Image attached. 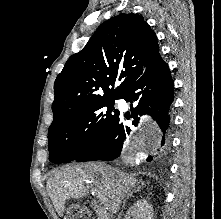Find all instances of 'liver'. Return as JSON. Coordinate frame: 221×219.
Returning a JSON list of instances; mask_svg holds the SVG:
<instances>
[{
	"instance_id": "1",
	"label": "liver",
	"mask_w": 221,
	"mask_h": 219,
	"mask_svg": "<svg viewBox=\"0 0 221 219\" xmlns=\"http://www.w3.org/2000/svg\"><path fill=\"white\" fill-rule=\"evenodd\" d=\"M140 184H143L142 180L133 174L101 162H90L53 171L47 181V191L60 216L63 215L66 200L83 198L90 189L97 193L99 200L113 214Z\"/></svg>"
}]
</instances>
